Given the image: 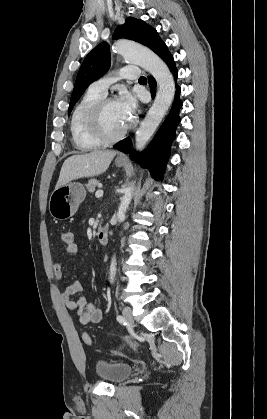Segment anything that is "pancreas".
Segmentation results:
<instances>
[{
  "label": "pancreas",
  "instance_id": "cf45deb5",
  "mask_svg": "<svg viewBox=\"0 0 267 419\" xmlns=\"http://www.w3.org/2000/svg\"><path fill=\"white\" fill-rule=\"evenodd\" d=\"M98 185H100V182L97 179H90L86 184L88 192L93 193Z\"/></svg>",
  "mask_w": 267,
  "mask_h": 419
}]
</instances>
